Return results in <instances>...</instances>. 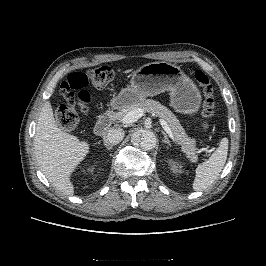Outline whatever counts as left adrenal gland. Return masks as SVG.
I'll return each mask as SVG.
<instances>
[{
	"instance_id": "1",
	"label": "left adrenal gland",
	"mask_w": 266,
	"mask_h": 266,
	"mask_svg": "<svg viewBox=\"0 0 266 266\" xmlns=\"http://www.w3.org/2000/svg\"><path fill=\"white\" fill-rule=\"evenodd\" d=\"M162 134L164 135V139L162 140V142H163L164 144H167L169 147H171V143H170V141H169V139H168L167 134H166L165 132H162Z\"/></svg>"
}]
</instances>
